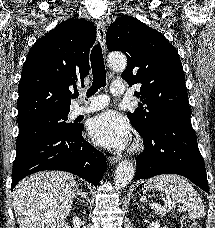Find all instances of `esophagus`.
Listing matches in <instances>:
<instances>
[{"mask_svg":"<svg viewBox=\"0 0 215 228\" xmlns=\"http://www.w3.org/2000/svg\"><path fill=\"white\" fill-rule=\"evenodd\" d=\"M97 37L101 44L102 50L106 52V26L103 20H99L96 25ZM121 160L120 156L111 158L109 161L112 164L118 163Z\"/></svg>","mask_w":215,"mask_h":228,"instance_id":"34e87169","label":"esophagus"}]
</instances>
